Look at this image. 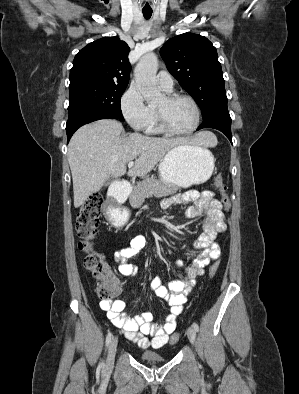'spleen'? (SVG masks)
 Here are the masks:
<instances>
[{
    "label": "spleen",
    "mask_w": 299,
    "mask_h": 394,
    "mask_svg": "<svg viewBox=\"0 0 299 394\" xmlns=\"http://www.w3.org/2000/svg\"><path fill=\"white\" fill-rule=\"evenodd\" d=\"M215 140H216L215 136H214V135H212V137H211V138H210V140L208 141V144H207V145L213 146V145H214V142H215Z\"/></svg>",
    "instance_id": "1"
}]
</instances>
